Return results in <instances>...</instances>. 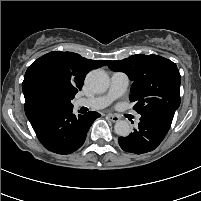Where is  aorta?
I'll use <instances>...</instances> for the list:
<instances>
[{
  "instance_id": "obj_1",
  "label": "aorta",
  "mask_w": 201,
  "mask_h": 201,
  "mask_svg": "<svg viewBox=\"0 0 201 201\" xmlns=\"http://www.w3.org/2000/svg\"><path fill=\"white\" fill-rule=\"evenodd\" d=\"M86 84L93 92L103 93L108 88L109 78L103 70H92L86 77ZM114 130L117 135L126 137L131 132V126L128 121L120 120L116 122Z\"/></svg>"
}]
</instances>
